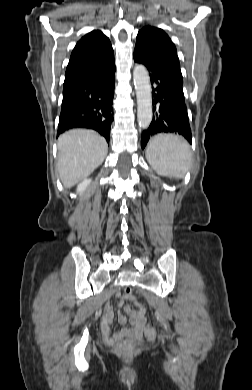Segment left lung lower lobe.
<instances>
[{
    "label": "left lung lower lobe",
    "mask_w": 252,
    "mask_h": 390,
    "mask_svg": "<svg viewBox=\"0 0 252 390\" xmlns=\"http://www.w3.org/2000/svg\"><path fill=\"white\" fill-rule=\"evenodd\" d=\"M134 61L145 65L152 85L153 119L141 135V146L159 133H178L190 143L192 134L183 93L181 72L135 46Z\"/></svg>",
    "instance_id": "1"
}]
</instances>
